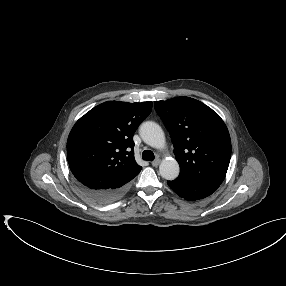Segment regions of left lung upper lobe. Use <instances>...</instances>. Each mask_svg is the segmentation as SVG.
Listing matches in <instances>:
<instances>
[{"label": "left lung upper lobe", "instance_id": "5c2ea615", "mask_svg": "<svg viewBox=\"0 0 286 286\" xmlns=\"http://www.w3.org/2000/svg\"><path fill=\"white\" fill-rule=\"evenodd\" d=\"M154 105L172 138L179 176L218 188L231 158L229 132L220 116L189 97L155 101Z\"/></svg>", "mask_w": 286, "mask_h": 286}]
</instances>
